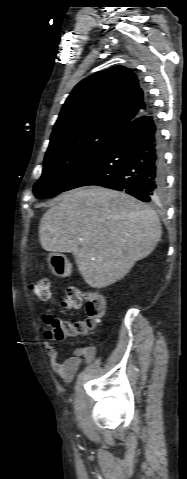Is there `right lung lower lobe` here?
I'll return each instance as SVG.
<instances>
[{
    "mask_svg": "<svg viewBox=\"0 0 187 479\" xmlns=\"http://www.w3.org/2000/svg\"><path fill=\"white\" fill-rule=\"evenodd\" d=\"M87 185L124 191L144 202L163 197L166 178L162 136L151 110L128 124L64 191Z\"/></svg>",
    "mask_w": 187,
    "mask_h": 479,
    "instance_id": "98d812e1",
    "label": "right lung lower lobe"
}]
</instances>
